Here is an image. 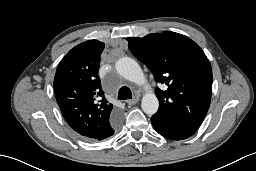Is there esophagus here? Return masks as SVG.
Wrapping results in <instances>:
<instances>
[{
  "label": "esophagus",
  "mask_w": 256,
  "mask_h": 171,
  "mask_svg": "<svg viewBox=\"0 0 256 171\" xmlns=\"http://www.w3.org/2000/svg\"><path fill=\"white\" fill-rule=\"evenodd\" d=\"M138 101H139V97H138V96H135L133 99L128 100V101H127V104H129V105H134V104H136Z\"/></svg>",
  "instance_id": "esophagus-1"
}]
</instances>
